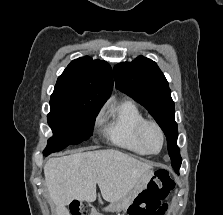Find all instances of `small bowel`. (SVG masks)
I'll return each instance as SVG.
<instances>
[{"label": "small bowel", "mask_w": 223, "mask_h": 215, "mask_svg": "<svg viewBox=\"0 0 223 215\" xmlns=\"http://www.w3.org/2000/svg\"><path fill=\"white\" fill-rule=\"evenodd\" d=\"M166 208H167V204L165 203L164 208H163V211L160 214H158V215H163L164 212H165V210H166Z\"/></svg>", "instance_id": "small-bowel-1"}]
</instances>
